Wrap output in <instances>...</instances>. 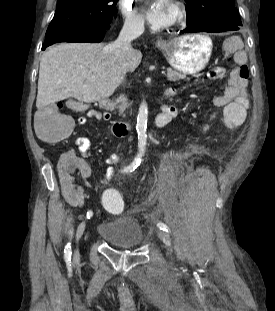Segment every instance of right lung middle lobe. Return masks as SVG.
Returning <instances> with one entry per match:
<instances>
[{
	"label": "right lung middle lobe",
	"mask_w": 275,
	"mask_h": 311,
	"mask_svg": "<svg viewBox=\"0 0 275 311\" xmlns=\"http://www.w3.org/2000/svg\"><path fill=\"white\" fill-rule=\"evenodd\" d=\"M117 1L58 0L45 39L76 28L111 23L115 19Z\"/></svg>",
	"instance_id": "1"
}]
</instances>
